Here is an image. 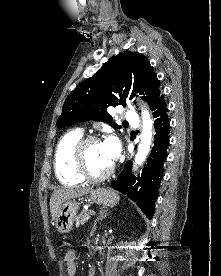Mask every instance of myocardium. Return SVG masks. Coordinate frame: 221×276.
I'll return each mask as SVG.
<instances>
[{
    "label": "myocardium",
    "instance_id": "myocardium-1",
    "mask_svg": "<svg viewBox=\"0 0 221 276\" xmlns=\"http://www.w3.org/2000/svg\"><path fill=\"white\" fill-rule=\"evenodd\" d=\"M101 142V140L93 135H88L82 137L74 148V165L77 173L86 181L89 182H100L107 179L114 172L115 165L111 164V166L101 174H93L87 165L86 160V149L89 144Z\"/></svg>",
    "mask_w": 221,
    "mask_h": 276
}]
</instances>
